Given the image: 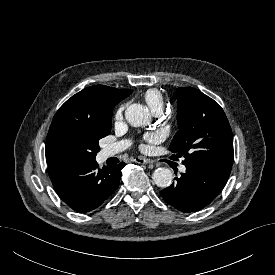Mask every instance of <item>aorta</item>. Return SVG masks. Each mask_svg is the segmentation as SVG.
Segmentation results:
<instances>
[{
	"label": "aorta",
	"instance_id": "aorta-1",
	"mask_svg": "<svg viewBox=\"0 0 275 275\" xmlns=\"http://www.w3.org/2000/svg\"><path fill=\"white\" fill-rule=\"evenodd\" d=\"M125 118L134 127L144 126L150 123L149 110L141 104H132L125 111ZM173 174L170 169L160 167L152 175L154 183L161 188L168 187L172 182Z\"/></svg>",
	"mask_w": 275,
	"mask_h": 275
}]
</instances>
